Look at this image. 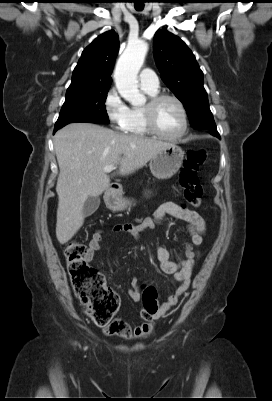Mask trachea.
<instances>
[{"label": "trachea", "instance_id": "1", "mask_svg": "<svg viewBox=\"0 0 272 401\" xmlns=\"http://www.w3.org/2000/svg\"><path fill=\"white\" fill-rule=\"evenodd\" d=\"M144 8V3L143 2H139L138 0H135V9L136 10H143Z\"/></svg>", "mask_w": 272, "mask_h": 401}]
</instances>
